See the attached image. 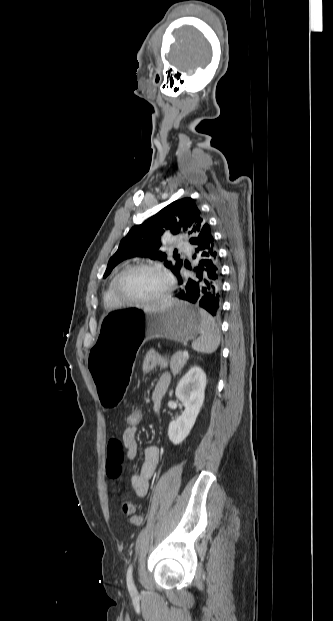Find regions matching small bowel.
Masks as SVG:
<instances>
[{
  "label": "small bowel",
  "mask_w": 333,
  "mask_h": 621,
  "mask_svg": "<svg viewBox=\"0 0 333 621\" xmlns=\"http://www.w3.org/2000/svg\"><path fill=\"white\" fill-rule=\"evenodd\" d=\"M158 366H166L165 358L161 357L155 351H148L142 362V370L144 373H150ZM170 384V375L163 373L155 383L152 399L155 407L158 406L164 397ZM137 426L128 425L123 433L122 440H111L107 449V475L111 479H116L122 472V463L124 457L133 460L137 456L138 443L136 439ZM124 450L126 454L124 453ZM159 462V451L155 446H147L144 450V458L140 468L134 471L130 476V485L133 492L138 497H143L149 489V481L153 476Z\"/></svg>",
  "instance_id": "1"
}]
</instances>
